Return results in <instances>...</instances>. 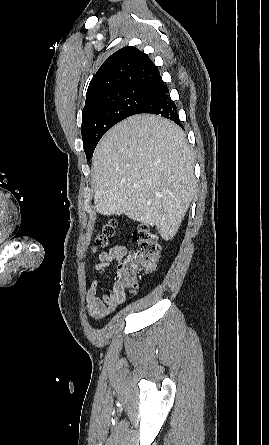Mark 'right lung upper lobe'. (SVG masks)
<instances>
[{"label":"right lung upper lobe","mask_w":269,"mask_h":445,"mask_svg":"<svg viewBox=\"0 0 269 445\" xmlns=\"http://www.w3.org/2000/svg\"><path fill=\"white\" fill-rule=\"evenodd\" d=\"M161 81L148 55L133 46H126L112 54L98 69L88 86L85 105L115 89L156 87Z\"/></svg>","instance_id":"cb5924a9"}]
</instances>
